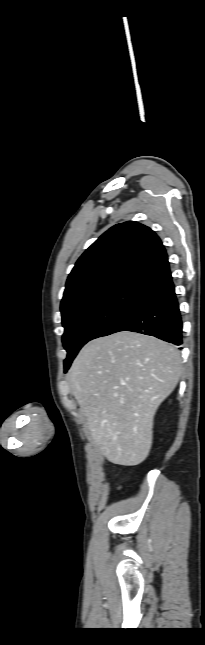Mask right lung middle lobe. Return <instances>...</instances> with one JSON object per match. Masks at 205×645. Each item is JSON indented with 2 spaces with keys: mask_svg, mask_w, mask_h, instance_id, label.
I'll return each instance as SVG.
<instances>
[{
  "mask_svg": "<svg viewBox=\"0 0 205 645\" xmlns=\"http://www.w3.org/2000/svg\"><path fill=\"white\" fill-rule=\"evenodd\" d=\"M144 294V287L125 284L109 291L74 301L61 309L65 328L63 344L67 351L65 371L80 348L100 337L132 309Z\"/></svg>",
  "mask_w": 205,
  "mask_h": 645,
  "instance_id": "obj_1",
  "label": "right lung middle lobe"
}]
</instances>
